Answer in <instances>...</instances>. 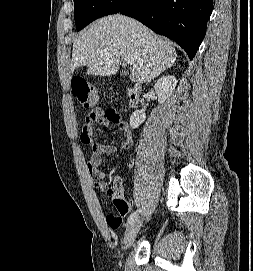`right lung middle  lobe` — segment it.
Wrapping results in <instances>:
<instances>
[{
	"label": "right lung middle lobe",
	"instance_id": "1",
	"mask_svg": "<svg viewBox=\"0 0 253 271\" xmlns=\"http://www.w3.org/2000/svg\"><path fill=\"white\" fill-rule=\"evenodd\" d=\"M126 0H74V19L79 31L92 21L118 13Z\"/></svg>",
	"mask_w": 253,
	"mask_h": 271
}]
</instances>
